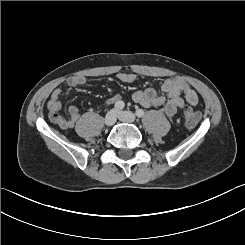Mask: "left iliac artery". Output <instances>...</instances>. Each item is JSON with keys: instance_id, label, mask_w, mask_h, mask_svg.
<instances>
[{"instance_id": "left-iliac-artery-1", "label": "left iliac artery", "mask_w": 245, "mask_h": 245, "mask_svg": "<svg viewBox=\"0 0 245 245\" xmlns=\"http://www.w3.org/2000/svg\"><path fill=\"white\" fill-rule=\"evenodd\" d=\"M136 116L141 118L144 116L145 112L143 109H137L136 112H135Z\"/></svg>"}]
</instances>
